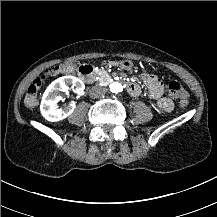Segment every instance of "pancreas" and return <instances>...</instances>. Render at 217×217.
<instances>
[{
    "label": "pancreas",
    "instance_id": "1",
    "mask_svg": "<svg viewBox=\"0 0 217 217\" xmlns=\"http://www.w3.org/2000/svg\"><path fill=\"white\" fill-rule=\"evenodd\" d=\"M106 76H107V73H104L102 77L105 78Z\"/></svg>",
    "mask_w": 217,
    "mask_h": 217
}]
</instances>
